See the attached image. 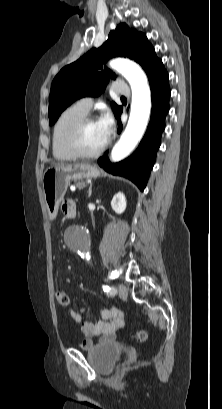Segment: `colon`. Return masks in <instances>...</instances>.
Returning a JSON list of instances; mask_svg holds the SVG:
<instances>
[{
  "mask_svg": "<svg viewBox=\"0 0 222 409\" xmlns=\"http://www.w3.org/2000/svg\"><path fill=\"white\" fill-rule=\"evenodd\" d=\"M56 298L59 306L61 307H68L70 304V297L66 291L59 290L56 293ZM148 338V333L145 330H140L134 335V339L139 342H144Z\"/></svg>",
  "mask_w": 222,
  "mask_h": 409,
  "instance_id": "obj_1",
  "label": "colon"
}]
</instances>
